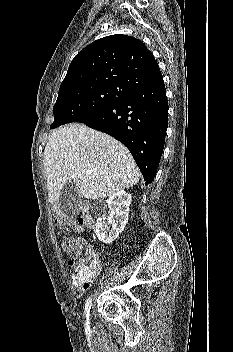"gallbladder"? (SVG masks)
<instances>
[{"instance_id":"gallbladder-1","label":"gallbladder","mask_w":233,"mask_h":352,"mask_svg":"<svg viewBox=\"0 0 233 352\" xmlns=\"http://www.w3.org/2000/svg\"><path fill=\"white\" fill-rule=\"evenodd\" d=\"M80 197L73 181L65 183L59 197V206L66 214L75 215L79 212Z\"/></svg>"}]
</instances>
